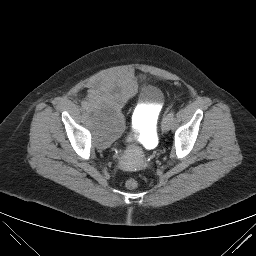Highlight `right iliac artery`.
I'll list each match as a JSON object with an SVG mask.
<instances>
[{"instance_id":"obj_1","label":"right iliac artery","mask_w":256,"mask_h":256,"mask_svg":"<svg viewBox=\"0 0 256 256\" xmlns=\"http://www.w3.org/2000/svg\"><path fill=\"white\" fill-rule=\"evenodd\" d=\"M80 106H81L82 108H85V109H86L87 103H86L85 101H82V102L80 103Z\"/></svg>"}]
</instances>
